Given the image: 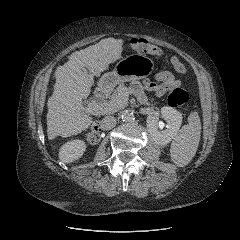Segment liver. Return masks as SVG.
Listing matches in <instances>:
<instances>
[{
  "instance_id": "1",
  "label": "liver",
  "mask_w": 240,
  "mask_h": 240,
  "mask_svg": "<svg viewBox=\"0 0 240 240\" xmlns=\"http://www.w3.org/2000/svg\"><path fill=\"white\" fill-rule=\"evenodd\" d=\"M122 45L121 39H102L73 52L63 66L57 67L54 92L47 103L48 139L70 137L89 128L93 119L83 111V99L91 93L94 75L121 58Z\"/></svg>"
}]
</instances>
